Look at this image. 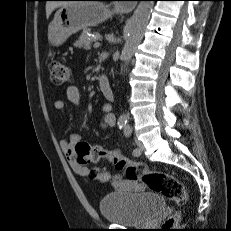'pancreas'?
<instances>
[{
  "instance_id": "1",
  "label": "pancreas",
  "mask_w": 231,
  "mask_h": 231,
  "mask_svg": "<svg viewBox=\"0 0 231 231\" xmlns=\"http://www.w3.org/2000/svg\"><path fill=\"white\" fill-rule=\"evenodd\" d=\"M90 32V29L83 30L82 34L79 37V40L76 41L75 46L86 50L90 49L91 44L100 38L98 33H95V38H92L88 35V33Z\"/></svg>"
}]
</instances>
